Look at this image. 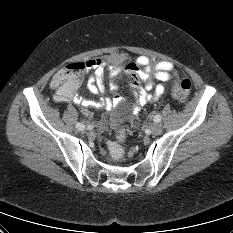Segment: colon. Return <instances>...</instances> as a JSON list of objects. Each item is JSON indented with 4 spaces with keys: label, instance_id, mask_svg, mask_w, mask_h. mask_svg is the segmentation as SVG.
<instances>
[{
    "label": "colon",
    "instance_id": "obj_1",
    "mask_svg": "<svg viewBox=\"0 0 233 233\" xmlns=\"http://www.w3.org/2000/svg\"><path fill=\"white\" fill-rule=\"evenodd\" d=\"M86 68V63L80 62L64 66L54 75L56 85L65 94L76 92L81 84ZM191 87L192 83L189 79L176 78L172 89L173 96L178 100H184L189 95ZM125 139V129L118 127L115 138L107 141L110 155L114 161H121L124 158L122 142Z\"/></svg>",
    "mask_w": 233,
    "mask_h": 233
}]
</instances>
